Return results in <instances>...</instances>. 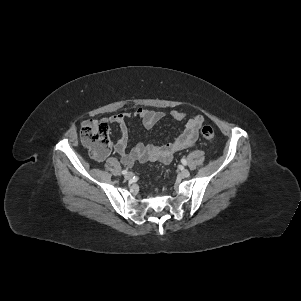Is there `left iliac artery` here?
Listing matches in <instances>:
<instances>
[{
    "mask_svg": "<svg viewBox=\"0 0 301 301\" xmlns=\"http://www.w3.org/2000/svg\"><path fill=\"white\" fill-rule=\"evenodd\" d=\"M181 162H182L183 165H187L186 159L182 158V159H181Z\"/></svg>",
    "mask_w": 301,
    "mask_h": 301,
    "instance_id": "obj_1",
    "label": "left iliac artery"
}]
</instances>
